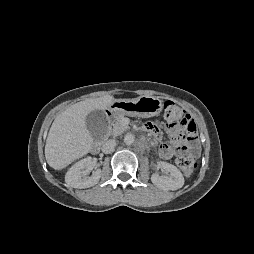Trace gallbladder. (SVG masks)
I'll return each mask as SVG.
<instances>
[{"mask_svg":"<svg viewBox=\"0 0 254 254\" xmlns=\"http://www.w3.org/2000/svg\"><path fill=\"white\" fill-rule=\"evenodd\" d=\"M86 127L94 140L105 138L108 130V118L103 110H93L86 116Z\"/></svg>","mask_w":254,"mask_h":254,"instance_id":"bac80fb5","label":"gallbladder"}]
</instances>
